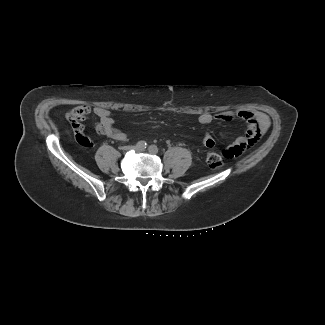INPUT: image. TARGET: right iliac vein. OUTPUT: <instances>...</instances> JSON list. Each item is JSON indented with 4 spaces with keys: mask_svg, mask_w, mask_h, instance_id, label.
I'll use <instances>...</instances> for the list:
<instances>
[{
    "mask_svg": "<svg viewBox=\"0 0 325 325\" xmlns=\"http://www.w3.org/2000/svg\"><path fill=\"white\" fill-rule=\"evenodd\" d=\"M136 148L137 147H129V146L128 147H124L125 150H127V149H135L136 150Z\"/></svg>",
    "mask_w": 325,
    "mask_h": 325,
    "instance_id": "1",
    "label": "right iliac vein"
}]
</instances>
